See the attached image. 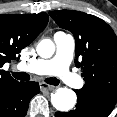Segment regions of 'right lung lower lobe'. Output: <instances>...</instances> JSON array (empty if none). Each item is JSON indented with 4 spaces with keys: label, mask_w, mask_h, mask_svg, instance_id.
Masks as SVG:
<instances>
[{
    "label": "right lung lower lobe",
    "mask_w": 117,
    "mask_h": 117,
    "mask_svg": "<svg viewBox=\"0 0 117 117\" xmlns=\"http://www.w3.org/2000/svg\"><path fill=\"white\" fill-rule=\"evenodd\" d=\"M40 92L37 82H19L0 96V117H25L31 98Z\"/></svg>",
    "instance_id": "98d812e1"
}]
</instances>
